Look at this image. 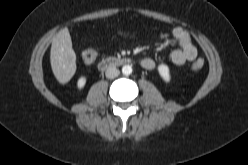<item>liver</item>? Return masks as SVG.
I'll list each match as a JSON object with an SVG mask.
<instances>
[{"label": "liver", "instance_id": "6515ba94", "mask_svg": "<svg viewBox=\"0 0 248 165\" xmlns=\"http://www.w3.org/2000/svg\"><path fill=\"white\" fill-rule=\"evenodd\" d=\"M50 63L55 78L61 84L67 83L76 72V54L67 27L61 29L52 40Z\"/></svg>", "mask_w": 248, "mask_h": 165}]
</instances>
